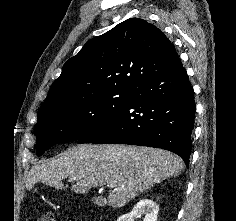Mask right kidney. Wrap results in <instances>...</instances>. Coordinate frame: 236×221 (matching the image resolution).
<instances>
[{"label": "right kidney", "mask_w": 236, "mask_h": 221, "mask_svg": "<svg viewBox=\"0 0 236 221\" xmlns=\"http://www.w3.org/2000/svg\"><path fill=\"white\" fill-rule=\"evenodd\" d=\"M159 207L150 199L140 200L128 214L120 216L117 221H135L144 216L143 221H157Z\"/></svg>", "instance_id": "obj_1"}]
</instances>
